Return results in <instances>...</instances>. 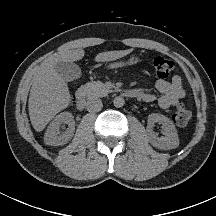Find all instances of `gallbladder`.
<instances>
[{"label": "gallbladder", "instance_id": "gallbladder-1", "mask_svg": "<svg viewBox=\"0 0 216 216\" xmlns=\"http://www.w3.org/2000/svg\"><path fill=\"white\" fill-rule=\"evenodd\" d=\"M55 70L67 82L79 79L82 74L80 67L73 62H57Z\"/></svg>", "mask_w": 216, "mask_h": 216}]
</instances>
